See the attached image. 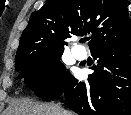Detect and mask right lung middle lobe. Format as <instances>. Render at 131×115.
I'll return each instance as SVG.
<instances>
[{"mask_svg":"<svg viewBox=\"0 0 131 115\" xmlns=\"http://www.w3.org/2000/svg\"><path fill=\"white\" fill-rule=\"evenodd\" d=\"M62 53H32L15 63V70L21 71L19 77L24 78L36 96L42 99L57 98L72 79L73 76L65 71L60 61Z\"/></svg>","mask_w":131,"mask_h":115,"instance_id":"right-lung-middle-lobe-1","label":"right lung middle lobe"}]
</instances>
